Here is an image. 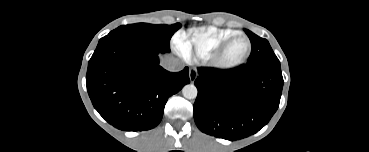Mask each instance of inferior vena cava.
<instances>
[{
  "mask_svg": "<svg viewBox=\"0 0 369 152\" xmlns=\"http://www.w3.org/2000/svg\"><path fill=\"white\" fill-rule=\"evenodd\" d=\"M162 66L170 72H178L183 69V65L175 58H166L162 61Z\"/></svg>",
  "mask_w": 369,
  "mask_h": 152,
  "instance_id": "1",
  "label": "inferior vena cava"
}]
</instances>
